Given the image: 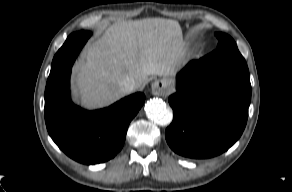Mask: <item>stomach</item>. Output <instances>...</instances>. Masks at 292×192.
<instances>
[{
    "label": "stomach",
    "instance_id": "0dacf381",
    "mask_svg": "<svg viewBox=\"0 0 292 192\" xmlns=\"http://www.w3.org/2000/svg\"><path fill=\"white\" fill-rule=\"evenodd\" d=\"M165 84L170 91L173 89V83L171 80H166Z\"/></svg>",
    "mask_w": 292,
    "mask_h": 192
}]
</instances>
